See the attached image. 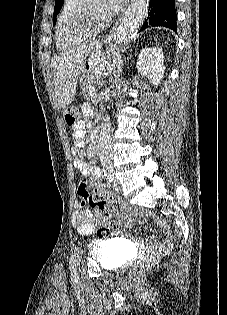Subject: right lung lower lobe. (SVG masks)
Masks as SVG:
<instances>
[{
  "label": "right lung lower lobe",
  "mask_w": 227,
  "mask_h": 315,
  "mask_svg": "<svg viewBox=\"0 0 227 315\" xmlns=\"http://www.w3.org/2000/svg\"><path fill=\"white\" fill-rule=\"evenodd\" d=\"M175 0H149L148 16L141 30L149 26H163L177 31Z\"/></svg>",
  "instance_id": "98d812e1"
}]
</instances>
